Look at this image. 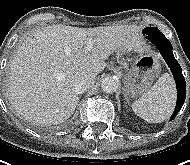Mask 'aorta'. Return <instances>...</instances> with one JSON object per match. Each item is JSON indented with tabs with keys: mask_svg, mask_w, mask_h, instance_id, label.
Wrapping results in <instances>:
<instances>
[{
	"mask_svg": "<svg viewBox=\"0 0 190 165\" xmlns=\"http://www.w3.org/2000/svg\"><path fill=\"white\" fill-rule=\"evenodd\" d=\"M119 81L115 77L109 76L102 80L101 89L106 93H113L117 90Z\"/></svg>",
	"mask_w": 190,
	"mask_h": 165,
	"instance_id": "aorta-1",
	"label": "aorta"
}]
</instances>
